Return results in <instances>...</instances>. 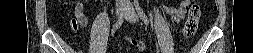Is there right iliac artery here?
Listing matches in <instances>:
<instances>
[{"mask_svg": "<svg viewBox=\"0 0 253 53\" xmlns=\"http://www.w3.org/2000/svg\"><path fill=\"white\" fill-rule=\"evenodd\" d=\"M123 21H124V18L121 17V18L113 25V27H112V29H111V35H112V36L114 35L115 31L122 25Z\"/></svg>", "mask_w": 253, "mask_h": 53, "instance_id": "obj_1", "label": "right iliac artery"}]
</instances>
